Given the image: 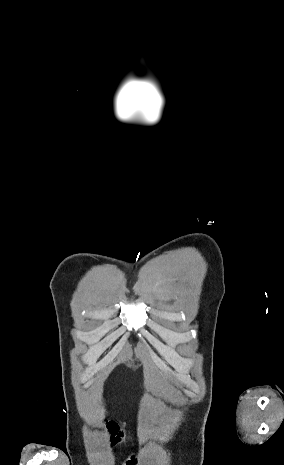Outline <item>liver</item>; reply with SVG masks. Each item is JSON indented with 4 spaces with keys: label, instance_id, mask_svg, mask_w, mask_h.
<instances>
[{
    "label": "liver",
    "instance_id": "liver-1",
    "mask_svg": "<svg viewBox=\"0 0 284 465\" xmlns=\"http://www.w3.org/2000/svg\"><path fill=\"white\" fill-rule=\"evenodd\" d=\"M103 417H104V413H103V411H101V413L99 415V421H101V419H103Z\"/></svg>",
    "mask_w": 284,
    "mask_h": 465
}]
</instances>
